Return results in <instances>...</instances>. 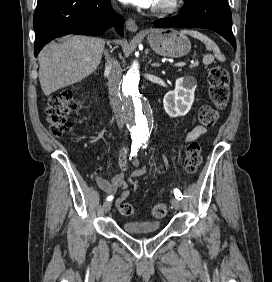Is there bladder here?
Segmentation results:
<instances>
[{
  "mask_svg": "<svg viewBox=\"0 0 272 282\" xmlns=\"http://www.w3.org/2000/svg\"><path fill=\"white\" fill-rule=\"evenodd\" d=\"M160 228L161 224L154 221H128L122 225V229L131 234L153 233Z\"/></svg>",
  "mask_w": 272,
  "mask_h": 282,
  "instance_id": "bladder-1",
  "label": "bladder"
}]
</instances>
